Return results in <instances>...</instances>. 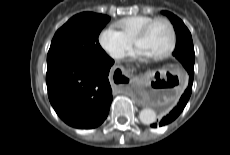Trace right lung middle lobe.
I'll list each match as a JSON object with an SVG mask.
<instances>
[{
	"label": "right lung middle lobe",
	"instance_id": "dd1d6c3e",
	"mask_svg": "<svg viewBox=\"0 0 230 155\" xmlns=\"http://www.w3.org/2000/svg\"><path fill=\"white\" fill-rule=\"evenodd\" d=\"M110 18L83 12L73 16L54 35L47 56V65L61 61H94L108 55L101 48L98 36Z\"/></svg>",
	"mask_w": 230,
	"mask_h": 155
}]
</instances>
